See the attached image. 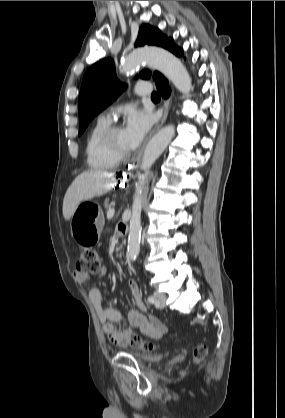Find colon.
<instances>
[{
    "label": "colon",
    "instance_id": "5ec220e1",
    "mask_svg": "<svg viewBox=\"0 0 285 418\" xmlns=\"http://www.w3.org/2000/svg\"><path fill=\"white\" fill-rule=\"evenodd\" d=\"M118 253L121 254V249L118 248ZM98 255L96 251L92 249H83L81 251L80 260L77 264V271L82 274L94 273L98 270ZM129 344L136 349L153 352L156 349V346L144 340L137 334H132L129 337ZM208 349L204 344H199L196 346L193 352V360L195 363L201 362L207 355Z\"/></svg>",
    "mask_w": 285,
    "mask_h": 418
}]
</instances>
